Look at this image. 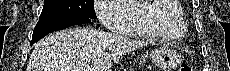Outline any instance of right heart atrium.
<instances>
[{
    "label": "right heart atrium",
    "mask_w": 230,
    "mask_h": 71,
    "mask_svg": "<svg viewBox=\"0 0 230 71\" xmlns=\"http://www.w3.org/2000/svg\"><path fill=\"white\" fill-rule=\"evenodd\" d=\"M127 2V0H96L95 12L101 24L116 32L124 29L130 19L124 10L118 8Z\"/></svg>",
    "instance_id": "d8ad5b80"
}]
</instances>
